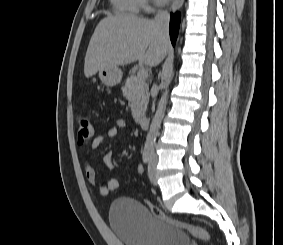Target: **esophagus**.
<instances>
[{
	"instance_id": "esophagus-1",
	"label": "esophagus",
	"mask_w": 283,
	"mask_h": 245,
	"mask_svg": "<svg viewBox=\"0 0 283 245\" xmlns=\"http://www.w3.org/2000/svg\"><path fill=\"white\" fill-rule=\"evenodd\" d=\"M184 0H174L171 5V11H176L181 8Z\"/></svg>"
}]
</instances>
